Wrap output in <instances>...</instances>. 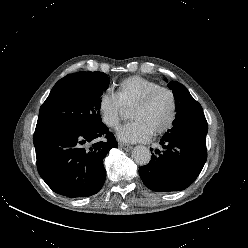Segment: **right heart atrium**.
I'll return each mask as SVG.
<instances>
[{
  "instance_id": "right-heart-atrium-1",
  "label": "right heart atrium",
  "mask_w": 248,
  "mask_h": 248,
  "mask_svg": "<svg viewBox=\"0 0 248 248\" xmlns=\"http://www.w3.org/2000/svg\"><path fill=\"white\" fill-rule=\"evenodd\" d=\"M98 110L104 124L111 128L117 129L123 117L124 108L113 93H103L98 101Z\"/></svg>"
}]
</instances>
